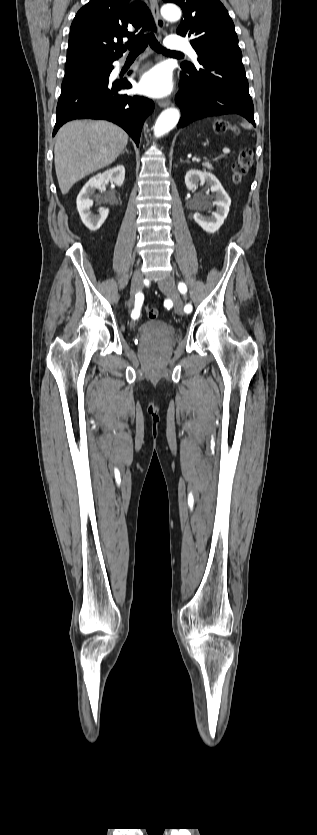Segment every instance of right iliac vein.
I'll use <instances>...</instances> for the list:
<instances>
[{
  "mask_svg": "<svg viewBox=\"0 0 317 835\" xmlns=\"http://www.w3.org/2000/svg\"><path fill=\"white\" fill-rule=\"evenodd\" d=\"M143 287V276L140 270H136L132 277L131 282V289H130V299L128 301V307H131L133 304L134 297L137 293L141 291Z\"/></svg>",
  "mask_w": 317,
  "mask_h": 835,
  "instance_id": "obj_1",
  "label": "right iliac vein"
}]
</instances>
